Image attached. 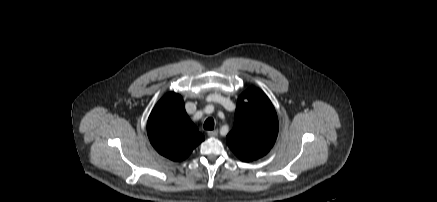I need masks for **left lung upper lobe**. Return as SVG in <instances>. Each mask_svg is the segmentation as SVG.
Instances as JSON below:
<instances>
[{
  "instance_id": "5c2ea615",
  "label": "left lung upper lobe",
  "mask_w": 437,
  "mask_h": 202,
  "mask_svg": "<svg viewBox=\"0 0 437 202\" xmlns=\"http://www.w3.org/2000/svg\"><path fill=\"white\" fill-rule=\"evenodd\" d=\"M278 135L276 111L258 88L250 87L238 98L235 121L226 141L233 153L249 162L265 156Z\"/></svg>"
}]
</instances>
